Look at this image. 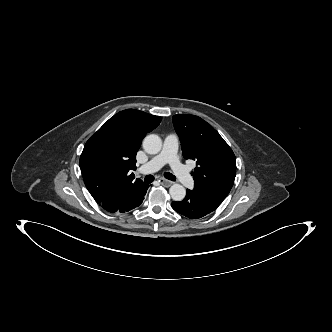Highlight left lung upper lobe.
Returning a JSON list of instances; mask_svg holds the SVG:
<instances>
[{
  "label": "left lung upper lobe",
  "mask_w": 332,
  "mask_h": 332,
  "mask_svg": "<svg viewBox=\"0 0 332 332\" xmlns=\"http://www.w3.org/2000/svg\"><path fill=\"white\" fill-rule=\"evenodd\" d=\"M183 157L196 161L193 192L219 206L229 194L236 176V158L220 134L194 115H174Z\"/></svg>",
  "instance_id": "5c2ea615"
}]
</instances>
